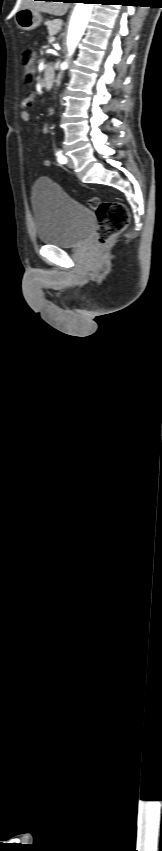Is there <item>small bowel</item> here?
I'll use <instances>...</instances> for the list:
<instances>
[{
	"label": "small bowel",
	"mask_w": 162,
	"mask_h": 851,
	"mask_svg": "<svg viewBox=\"0 0 162 851\" xmlns=\"http://www.w3.org/2000/svg\"><path fill=\"white\" fill-rule=\"evenodd\" d=\"M34 98H35V95L33 93H28L26 96L23 97V99L21 101L20 117H21L22 121H24V122H28L31 118L30 113H29V109L33 105ZM47 130H48V127L45 126L44 129H43V132H46ZM44 165L49 167L51 165V161L48 160V159L44 160Z\"/></svg>",
	"instance_id": "small-bowel-1"
}]
</instances>
